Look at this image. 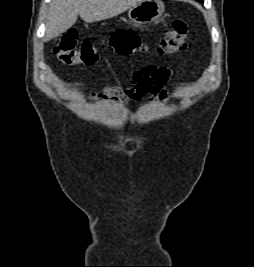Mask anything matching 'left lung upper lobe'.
Here are the masks:
<instances>
[{
  "mask_svg": "<svg viewBox=\"0 0 254 267\" xmlns=\"http://www.w3.org/2000/svg\"><path fill=\"white\" fill-rule=\"evenodd\" d=\"M196 1H199V2H202L203 3V0H196Z\"/></svg>",
  "mask_w": 254,
  "mask_h": 267,
  "instance_id": "5c2ea615",
  "label": "left lung upper lobe"
}]
</instances>
